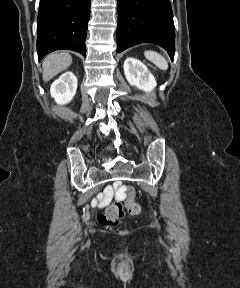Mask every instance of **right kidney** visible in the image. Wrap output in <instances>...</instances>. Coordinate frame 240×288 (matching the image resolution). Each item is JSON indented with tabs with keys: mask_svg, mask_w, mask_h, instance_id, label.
Masks as SVG:
<instances>
[{
	"mask_svg": "<svg viewBox=\"0 0 240 288\" xmlns=\"http://www.w3.org/2000/svg\"><path fill=\"white\" fill-rule=\"evenodd\" d=\"M76 89L77 78L72 72L68 71L52 83L50 93L57 104L64 105L73 99Z\"/></svg>",
	"mask_w": 240,
	"mask_h": 288,
	"instance_id": "1",
	"label": "right kidney"
}]
</instances>
